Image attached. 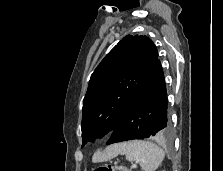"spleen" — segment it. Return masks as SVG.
Returning a JSON list of instances; mask_svg holds the SVG:
<instances>
[{
    "instance_id": "1",
    "label": "spleen",
    "mask_w": 223,
    "mask_h": 171,
    "mask_svg": "<svg viewBox=\"0 0 223 171\" xmlns=\"http://www.w3.org/2000/svg\"><path fill=\"white\" fill-rule=\"evenodd\" d=\"M121 154L128 161H136L144 171H155L162 163L165 152L158 145L143 140H133L124 143Z\"/></svg>"
}]
</instances>
